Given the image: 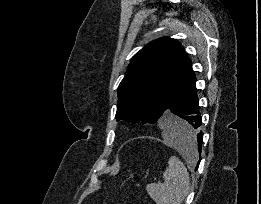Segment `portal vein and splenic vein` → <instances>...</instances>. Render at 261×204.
<instances>
[{"mask_svg": "<svg viewBox=\"0 0 261 204\" xmlns=\"http://www.w3.org/2000/svg\"><path fill=\"white\" fill-rule=\"evenodd\" d=\"M158 184H160L161 182L160 181H157Z\"/></svg>", "mask_w": 261, "mask_h": 204, "instance_id": "1", "label": "portal vein and splenic vein"}]
</instances>
